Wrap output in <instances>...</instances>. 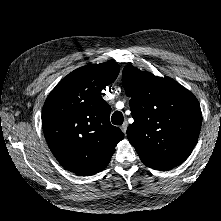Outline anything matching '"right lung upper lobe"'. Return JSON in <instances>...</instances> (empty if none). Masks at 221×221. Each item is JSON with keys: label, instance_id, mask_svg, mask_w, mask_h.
<instances>
[{"label": "right lung upper lobe", "instance_id": "right-lung-upper-lobe-1", "mask_svg": "<svg viewBox=\"0 0 221 221\" xmlns=\"http://www.w3.org/2000/svg\"><path fill=\"white\" fill-rule=\"evenodd\" d=\"M119 70L113 62L80 67L64 77L45 101L42 126L48 146L75 174L104 170L124 137L111 125V108L102 98V90L115 81Z\"/></svg>", "mask_w": 221, "mask_h": 221}]
</instances>
